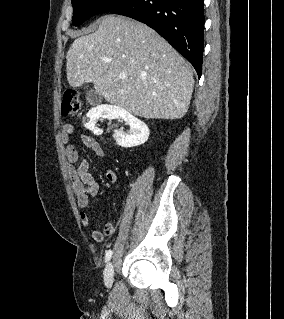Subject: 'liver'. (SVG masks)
Here are the masks:
<instances>
[{"instance_id": "obj_1", "label": "liver", "mask_w": 284, "mask_h": 319, "mask_svg": "<svg viewBox=\"0 0 284 319\" xmlns=\"http://www.w3.org/2000/svg\"><path fill=\"white\" fill-rule=\"evenodd\" d=\"M66 60L71 87L92 83L107 102L131 114L179 119L189 108L191 65L143 23L104 16L95 32L74 40Z\"/></svg>"}]
</instances>
